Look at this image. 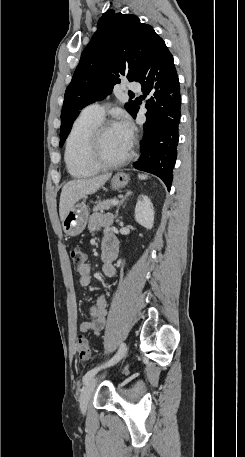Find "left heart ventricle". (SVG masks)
I'll return each instance as SVG.
<instances>
[{"mask_svg":"<svg viewBox=\"0 0 245 457\" xmlns=\"http://www.w3.org/2000/svg\"><path fill=\"white\" fill-rule=\"evenodd\" d=\"M129 144L118 133L115 127L106 130L99 141L93 143L91 157L95 161L104 159H116L121 157L127 150Z\"/></svg>","mask_w":245,"mask_h":457,"instance_id":"left-heart-ventricle-1","label":"left heart ventricle"}]
</instances>
